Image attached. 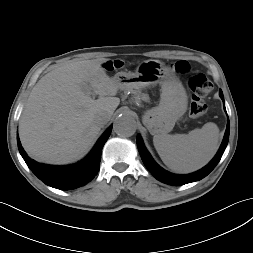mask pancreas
<instances>
[{
    "instance_id": "obj_1",
    "label": "pancreas",
    "mask_w": 253,
    "mask_h": 253,
    "mask_svg": "<svg viewBox=\"0 0 253 253\" xmlns=\"http://www.w3.org/2000/svg\"><path fill=\"white\" fill-rule=\"evenodd\" d=\"M136 94V97H135V100L137 102H139L140 100H143V101H148L149 100V97L147 94H144V93H141V92H135Z\"/></svg>"
}]
</instances>
